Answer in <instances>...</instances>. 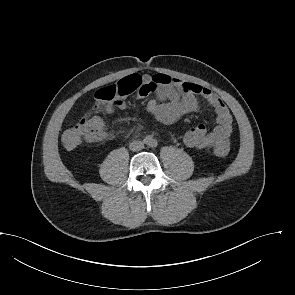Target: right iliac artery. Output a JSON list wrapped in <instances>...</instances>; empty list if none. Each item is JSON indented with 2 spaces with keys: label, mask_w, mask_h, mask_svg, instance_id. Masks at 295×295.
<instances>
[{
  "label": "right iliac artery",
  "mask_w": 295,
  "mask_h": 295,
  "mask_svg": "<svg viewBox=\"0 0 295 295\" xmlns=\"http://www.w3.org/2000/svg\"><path fill=\"white\" fill-rule=\"evenodd\" d=\"M144 142H145V143H146V142H149V139H148V138L144 139Z\"/></svg>",
  "instance_id": "obj_1"
}]
</instances>
